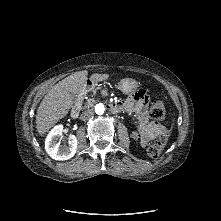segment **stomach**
I'll use <instances>...</instances> for the list:
<instances>
[{"label": "stomach", "mask_w": 221, "mask_h": 221, "mask_svg": "<svg viewBox=\"0 0 221 221\" xmlns=\"http://www.w3.org/2000/svg\"><path fill=\"white\" fill-rule=\"evenodd\" d=\"M138 86V82L132 78H125L120 82V89L127 95L133 94L137 90Z\"/></svg>", "instance_id": "0dacf381"}]
</instances>
